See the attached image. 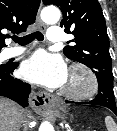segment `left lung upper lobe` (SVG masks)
Returning <instances> with one entry per match:
<instances>
[{"mask_svg": "<svg viewBox=\"0 0 117 131\" xmlns=\"http://www.w3.org/2000/svg\"><path fill=\"white\" fill-rule=\"evenodd\" d=\"M45 5H56L62 13L61 27L75 38L66 46L64 54L95 72L99 90L110 89L113 95L112 60L106 22L98 0H43Z\"/></svg>", "mask_w": 117, "mask_h": 131, "instance_id": "5c2ea615", "label": "left lung upper lobe"}]
</instances>
